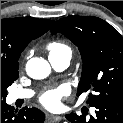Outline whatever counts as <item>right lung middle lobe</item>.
Returning <instances> with one entry per match:
<instances>
[{
	"label": "right lung middle lobe",
	"mask_w": 123,
	"mask_h": 123,
	"mask_svg": "<svg viewBox=\"0 0 123 123\" xmlns=\"http://www.w3.org/2000/svg\"><path fill=\"white\" fill-rule=\"evenodd\" d=\"M18 78V71L4 73L1 77V99H6L7 87Z\"/></svg>",
	"instance_id": "right-lung-middle-lobe-1"
}]
</instances>
